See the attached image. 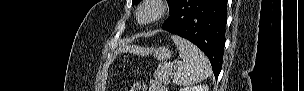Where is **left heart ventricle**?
<instances>
[{
	"instance_id": "left-heart-ventricle-1",
	"label": "left heart ventricle",
	"mask_w": 304,
	"mask_h": 91,
	"mask_svg": "<svg viewBox=\"0 0 304 91\" xmlns=\"http://www.w3.org/2000/svg\"><path fill=\"white\" fill-rule=\"evenodd\" d=\"M153 14V10L151 8H144L140 14V18L142 20L148 19Z\"/></svg>"
}]
</instances>
